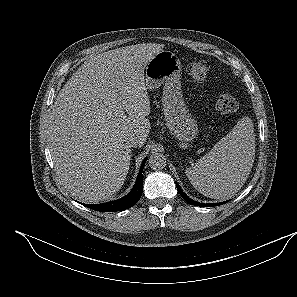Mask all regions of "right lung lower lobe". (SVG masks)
Instances as JSON below:
<instances>
[{
    "mask_svg": "<svg viewBox=\"0 0 297 297\" xmlns=\"http://www.w3.org/2000/svg\"><path fill=\"white\" fill-rule=\"evenodd\" d=\"M146 160L147 158H145L142 162L134 187L125 197L112 202L103 203V204H95V205L83 204V205L93 210L101 211V212L121 211L134 206L139 201L143 192L142 172H143V168Z\"/></svg>",
    "mask_w": 297,
    "mask_h": 297,
    "instance_id": "right-lung-lower-lobe-1",
    "label": "right lung lower lobe"
}]
</instances>
